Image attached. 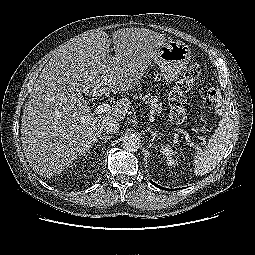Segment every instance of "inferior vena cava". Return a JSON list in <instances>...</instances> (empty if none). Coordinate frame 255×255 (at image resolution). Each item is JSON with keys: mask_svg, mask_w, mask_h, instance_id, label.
<instances>
[{"mask_svg": "<svg viewBox=\"0 0 255 255\" xmlns=\"http://www.w3.org/2000/svg\"><path fill=\"white\" fill-rule=\"evenodd\" d=\"M119 130V123L113 120L107 121L104 124V131L107 134H115Z\"/></svg>", "mask_w": 255, "mask_h": 255, "instance_id": "obj_1", "label": "inferior vena cava"}]
</instances>
